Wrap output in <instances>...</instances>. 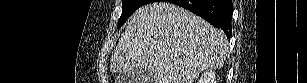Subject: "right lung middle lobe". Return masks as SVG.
Returning <instances> with one entry per match:
<instances>
[{"mask_svg": "<svg viewBox=\"0 0 307 83\" xmlns=\"http://www.w3.org/2000/svg\"><path fill=\"white\" fill-rule=\"evenodd\" d=\"M154 2V0H123L122 14L118 21V28L141 6Z\"/></svg>", "mask_w": 307, "mask_h": 83, "instance_id": "1", "label": "right lung middle lobe"}]
</instances>
